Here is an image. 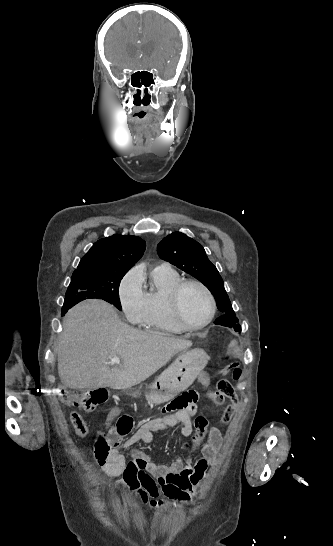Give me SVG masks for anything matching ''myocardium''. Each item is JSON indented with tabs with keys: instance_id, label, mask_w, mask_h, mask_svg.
Segmentation results:
<instances>
[{
	"instance_id": "1",
	"label": "myocardium",
	"mask_w": 333,
	"mask_h": 546,
	"mask_svg": "<svg viewBox=\"0 0 333 546\" xmlns=\"http://www.w3.org/2000/svg\"><path fill=\"white\" fill-rule=\"evenodd\" d=\"M188 285H195L199 287L206 294L209 301V305H210L209 316L202 324H199V325L189 324L185 320L182 314L180 298H181L183 289ZM168 305H169V310L173 319L185 331H198V330L204 329L209 324H211L217 312L216 300L212 291L207 287V285H205L203 282L197 279L187 278V279H181L179 282H177L170 292Z\"/></svg>"
}]
</instances>
